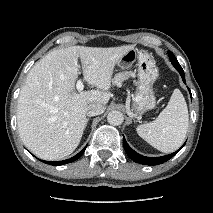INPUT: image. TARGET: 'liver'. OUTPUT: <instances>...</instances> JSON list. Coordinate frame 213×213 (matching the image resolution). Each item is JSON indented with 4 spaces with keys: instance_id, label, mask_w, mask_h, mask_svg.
I'll return each instance as SVG.
<instances>
[{
    "instance_id": "obj_1",
    "label": "liver",
    "mask_w": 213,
    "mask_h": 213,
    "mask_svg": "<svg viewBox=\"0 0 213 213\" xmlns=\"http://www.w3.org/2000/svg\"><path fill=\"white\" fill-rule=\"evenodd\" d=\"M134 45L72 46L49 52L29 71L17 106L24 145L44 160H59L79 145L87 125L85 107L106 105L115 65ZM78 58L86 82L97 90L77 91Z\"/></svg>"
}]
</instances>
